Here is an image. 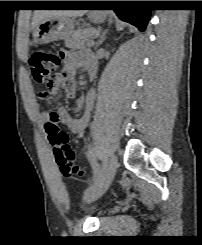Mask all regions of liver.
<instances>
[{
    "label": "liver",
    "instance_id": "6515ba94",
    "mask_svg": "<svg viewBox=\"0 0 202 245\" xmlns=\"http://www.w3.org/2000/svg\"><path fill=\"white\" fill-rule=\"evenodd\" d=\"M87 13V10H36L32 18V29H34L41 20L48 16L62 17H81Z\"/></svg>",
    "mask_w": 202,
    "mask_h": 245
}]
</instances>
